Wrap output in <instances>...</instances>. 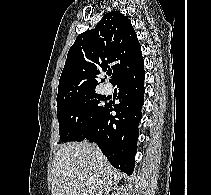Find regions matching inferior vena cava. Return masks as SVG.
<instances>
[{"label": "inferior vena cava", "mask_w": 211, "mask_h": 195, "mask_svg": "<svg viewBox=\"0 0 211 195\" xmlns=\"http://www.w3.org/2000/svg\"><path fill=\"white\" fill-rule=\"evenodd\" d=\"M96 157L98 160H102L103 159V154L101 153L100 149L97 147V151H96ZM103 184V183H101ZM97 195H102V188L99 189L98 194Z\"/></svg>", "instance_id": "602c4592"}]
</instances>
